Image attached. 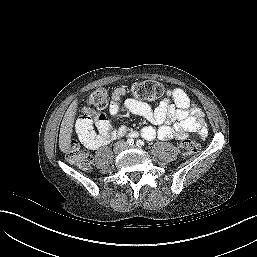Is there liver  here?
<instances>
[{
	"label": "liver",
	"instance_id": "obj_1",
	"mask_svg": "<svg viewBox=\"0 0 257 257\" xmlns=\"http://www.w3.org/2000/svg\"><path fill=\"white\" fill-rule=\"evenodd\" d=\"M77 103V100H74L70 104L61 123L59 134V148L63 153H67L71 145V134L77 110Z\"/></svg>",
	"mask_w": 257,
	"mask_h": 257
}]
</instances>
